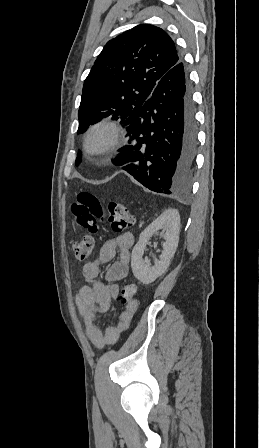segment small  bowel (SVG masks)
Masks as SVG:
<instances>
[{
    "label": "small bowel",
    "mask_w": 259,
    "mask_h": 448,
    "mask_svg": "<svg viewBox=\"0 0 259 448\" xmlns=\"http://www.w3.org/2000/svg\"><path fill=\"white\" fill-rule=\"evenodd\" d=\"M133 244L134 237L130 232L121 233L107 240L100 248L98 257L83 266L82 273L86 285L79 290L75 302L86 327L87 337L98 350L118 341L121 333L129 327L136 309L134 302L120 314L116 325H110L104 331L95 324L97 315L107 312L112 300L119 294L118 282L128 273ZM117 254L118 258L113 261ZM109 262L112 263L105 274L107 283H103L99 280L100 269Z\"/></svg>",
    "instance_id": "obj_1"
}]
</instances>
